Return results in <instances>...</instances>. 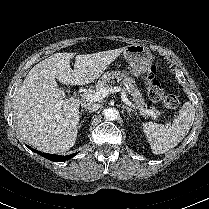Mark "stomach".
<instances>
[{"label": "stomach", "mask_w": 209, "mask_h": 209, "mask_svg": "<svg viewBox=\"0 0 209 209\" xmlns=\"http://www.w3.org/2000/svg\"><path fill=\"white\" fill-rule=\"evenodd\" d=\"M123 55L134 76H141L150 70L153 56L147 47L139 44L128 45L123 51Z\"/></svg>", "instance_id": "obj_1"}]
</instances>
